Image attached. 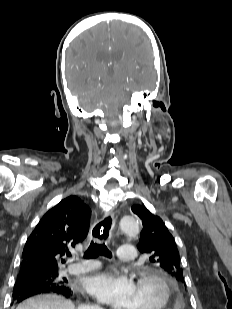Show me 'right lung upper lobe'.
<instances>
[{"instance_id": "obj_1", "label": "right lung upper lobe", "mask_w": 232, "mask_h": 309, "mask_svg": "<svg viewBox=\"0 0 232 309\" xmlns=\"http://www.w3.org/2000/svg\"><path fill=\"white\" fill-rule=\"evenodd\" d=\"M90 208L77 196L63 199L50 209L28 237L21 267L32 273L57 270L69 255L68 248L82 242L88 233Z\"/></svg>"}]
</instances>
